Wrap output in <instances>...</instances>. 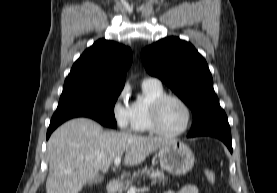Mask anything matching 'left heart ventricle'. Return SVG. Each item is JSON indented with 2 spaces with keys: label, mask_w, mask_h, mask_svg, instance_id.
Instances as JSON below:
<instances>
[{
  "label": "left heart ventricle",
  "mask_w": 277,
  "mask_h": 193,
  "mask_svg": "<svg viewBox=\"0 0 277 193\" xmlns=\"http://www.w3.org/2000/svg\"><path fill=\"white\" fill-rule=\"evenodd\" d=\"M187 115L184 107L176 100L164 102L160 111L161 126L164 130L175 132L184 127Z\"/></svg>",
  "instance_id": "obj_1"
}]
</instances>
